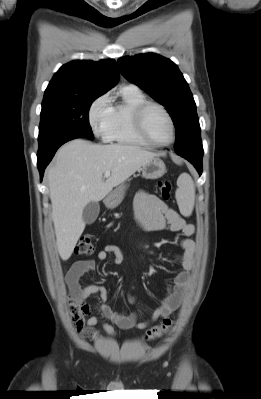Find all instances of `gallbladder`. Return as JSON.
Returning <instances> with one entry per match:
<instances>
[{
  "label": "gallbladder",
  "instance_id": "1",
  "mask_svg": "<svg viewBox=\"0 0 261 399\" xmlns=\"http://www.w3.org/2000/svg\"><path fill=\"white\" fill-rule=\"evenodd\" d=\"M100 206L98 202H89L83 209L82 217L86 224H92L98 217Z\"/></svg>",
  "mask_w": 261,
  "mask_h": 399
}]
</instances>
